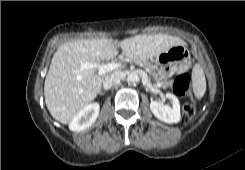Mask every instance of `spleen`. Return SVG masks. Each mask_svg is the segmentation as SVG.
<instances>
[{
  "label": "spleen",
  "instance_id": "1",
  "mask_svg": "<svg viewBox=\"0 0 245 170\" xmlns=\"http://www.w3.org/2000/svg\"><path fill=\"white\" fill-rule=\"evenodd\" d=\"M192 87L197 99H201L206 91V79L202 67L196 64L192 70Z\"/></svg>",
  "mask_w": 245,
  "mask_h": 170
}]
</instances>
